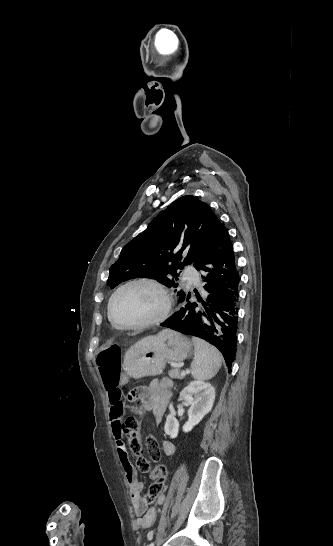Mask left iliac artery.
I'll use <instances>...</instances> for the list:
<instances>
[{
  "label": "left iliac artery",
  "instance_id": "left-iliac-artery-1",
  "mask_svg": "<svg viewBox=\"0 0 333 546\" xmlns=\"http://www.w3.org/2000/svg\"><path fill=\"white\" fill-rule=\"evenodd\" d=\"M148 546H154V543H151V544H150V545H148Z\"/></svg>",
  "mask_w": 333,
  "mask_h": 546
}]
</instances>
